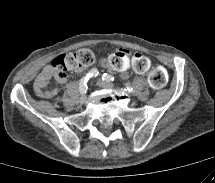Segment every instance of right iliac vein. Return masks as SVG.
I'll return each mask as SVG.
<instances>
[{
  "label": "right iliac vein",
  "mask_w": 215,
  "mask_h": 183,
  "mask_svg": "<svg viewBox=\"0 0 215 183\" xmlns=\"http://www.w3.org/2000/svg\"><path fill=\"white\" fill-rule=\"evenodd\" d=\"M86 99H87L86 94H82L81 97H80V102L83 104V103L86 102Z\"/></svg>",
  "instance_id": "63e3f726"
}]
</instances>
